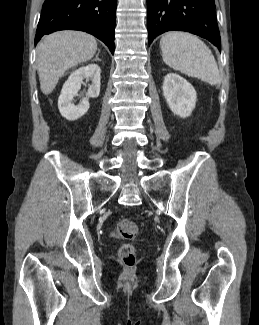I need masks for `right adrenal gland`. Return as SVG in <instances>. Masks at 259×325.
<instances>
[{
  "label": "right adrenal gland",
  "mask_w": 259,
  "mask_h": 325,
  "mask_svg": "<svg viewBox=\"0 0 259 325\" xmlns=\"http://www.w3.org/2000/svg\"><path fill=\"white\" fill-rule=\"evenodd\" d=\"M98 56H99V52H98V54L96 55V57H95V59L93 61H100V59L98 58Z\"/></svg>",
  "instance_id": "obj_1"
}]
</instances>
